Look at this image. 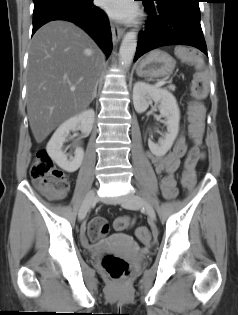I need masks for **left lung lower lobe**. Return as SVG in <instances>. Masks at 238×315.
Wrapping results in <instances>:
<instances>
[{
  "label": "left lung lower lobe",
  "mask_w": 238,
  "mask_h": 315,
  "mask_svg": "<svg viewBox=\"0 0 238 315\" xmlns=\"http://www.w3.org/2000/svg\"><path fill=\"white\" fill-rule=\"evenodd\" d=\"M150 15L139 33L134 61L144 53L166 45H189L207 55L200 25V0H143Z\"/></svg>",
  "instance_id": "obj_1"
}]
</instances>
